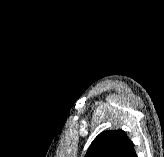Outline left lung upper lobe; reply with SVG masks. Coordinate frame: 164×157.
Returning a JSON list of instances; mask_svg holds the SVG:
<instances>
[{
    "instance_id": "5c2ea615",
    "label": "left lung upper lobe",
    "mask_w": 164,
    "mask_h": 157,
    "mask_svg": "<svg viewBox=\"0 0 164 157\" xmlns=\"http://www.w3.org/2000/svg\"><path fill=\"white\" fill-rule=\"evenodd\" d=\"M133 148L123 130L104 131L91 143L85 157H128Z\"/></svg>"
}]
</instances>
